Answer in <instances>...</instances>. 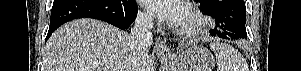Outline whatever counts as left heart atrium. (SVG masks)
<instances>
[{
    "label": "left heart atrium",
    "mask_w": 301,
    "mask_h": 71,
    "mask_svg": "<svg viewBox=\"0 0 301 71\" xmlns=\"http://www.w3.org/2000/svg\"><path fill=\"white\" fill-rule=\"evenodd\" d=\"M142 4L150 13L177 29L184 25L188 15L181 0H142Z\"/></svg>",
    "instance_id": "39dd6f15"
}]
</instances>
